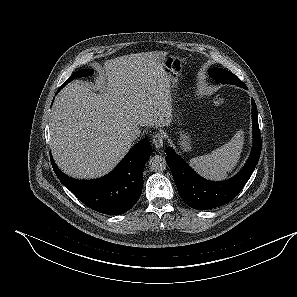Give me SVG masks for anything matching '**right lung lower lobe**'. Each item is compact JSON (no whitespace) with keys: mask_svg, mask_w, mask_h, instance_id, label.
I'll use <instances>...</instances> for the list:
<instances>
[{"mask_svg":"<svg viewBox=\"0 0 297 297\" xmlns=\"http://www.w3.org/2000/svg\"><path fill=\"white\" fill-rule=\"evenodd\" d=\"M62 87L63 85L59 90ZM151 154L152 148L145 138L137 143L109 174L86 181L68 177L57 167L51 154L50 159L59 180L81 202L97 212L120 215L138 201L142 192L143 169Z\"/></svg>","mask_w":297,"mask_h":297,"instance_id":"1","label":"right lung lower lobe"}]
</instances>
